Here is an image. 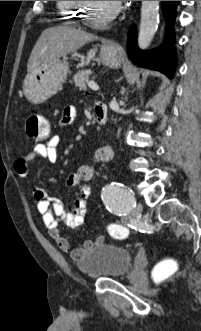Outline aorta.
Segmentation results:
<instances>
[{
	"label": "aorta",
	"mask_w": 201,
	"mask_h": 331,
	"mask_svg": "<svg viewBox=\"0 0 201 331\" xmlns=\"http://www.w3.org/2000/svg\"><path fill=\"white\" fill-rule=\"evenodd\" d=\"M159 22V1H142L138 46L144 50L153 40Z\"/></svg>",
	"instance_id": "obj_1"
}]
</instances>
